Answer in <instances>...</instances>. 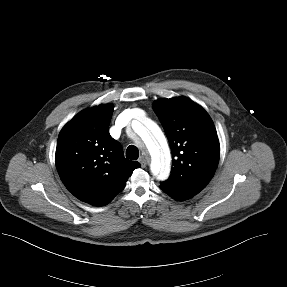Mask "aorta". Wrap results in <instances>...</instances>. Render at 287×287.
<instances>
[{"mask_svg": "<svg viewBox=\"0 0 287 287\" xmlns=\"http://www.w3.org/2000/svg\"><path fill=\"white\" fill-rule=\"evenodd\" d=\"M148 126L157 139V141H155L150 138L146 142V147L151 157L150 169L153 175L159 176L161 180H165L170 174V151L158 125L148 120Z\"/></svg>", "mask_w": 287, "mask_h": 287, "instance_id": "762f6f07", "label": "aorta"}]
</instances>
